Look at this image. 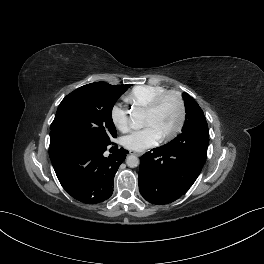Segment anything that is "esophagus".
I'll list each match as a JSON object with an SVG mask.
<instances>
[{
  "label": "esophagus",
  "instance_id": "obj_1",
  "mask_svg": "<svg viewBox=\"0 0 264 264\" xmlns=\"http://www.w3.org/2000/svg\"><path fill=\"white\" fill-rule=\"evenodd\" d=\"M130 154H134V155H136V156H141V155H142L141 153H138V152H131V151H130Z\"/></svg>",
  "mask_w": 264,
  "mask_h": 264
}]
</instances>
